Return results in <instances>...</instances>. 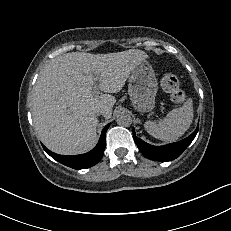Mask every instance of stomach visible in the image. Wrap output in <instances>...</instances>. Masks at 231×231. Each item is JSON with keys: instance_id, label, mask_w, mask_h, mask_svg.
<instances>
[{"instance_id": "stomach-1", "label": "stomach", "mask_w": 231, "mask_h": 231, "mask_svg": "<svg viewBox=\"0 0 231 231\" xmlns=\"http://www.w3.org/2000/svg\"><path fill=\"white\" fill-rule=\"evenodd\" d=\"M158 82L152 66L145 60L131 72L128 93L135 110L141 113L150 112L155 106Z\"/></svg>"}]
</instances>
